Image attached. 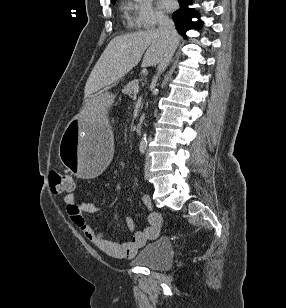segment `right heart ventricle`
Returning a JSON list of instances; mask_svg holds the SVG:
<instances>
[{
    "label": "right heart ventricle",
    "instance_id": "1",
    "mask_svg": "<svg viewBox=\"0 0 286 308\" xmlns=\"http://www.w3.org/2000/svg\"><path fill=\"white\" fill-rule=\"evenodd\" d=\"M122 9L126 12L127 11V8L125 6L122 7Z\"/></svg>",
    "mask_w": 286,
    "mask_h": 308
}]
</instances>
